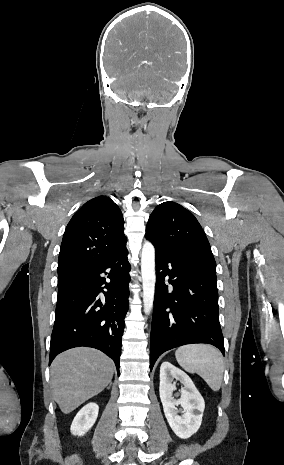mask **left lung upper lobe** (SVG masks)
<instances>
[{
    "mask_svg": "<svg viewBox=\"0 0 284 465\" xmlns=\"http://www.w3.org/2000/svg\"><path fill=\"white\" fill-rule=\"evenodd\" d=\"M146 238L155 248L216 272L208 239L194 215L181 205L167 201L150 215Z\"/></svg>",
    "mask_w": 284,
    "mask_h": 465,
    "instance_id": "left-lung-upper-lobe-1",
    "label": "left lung upper lobe"
}]
</instances>
